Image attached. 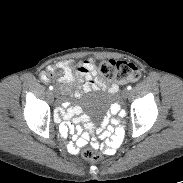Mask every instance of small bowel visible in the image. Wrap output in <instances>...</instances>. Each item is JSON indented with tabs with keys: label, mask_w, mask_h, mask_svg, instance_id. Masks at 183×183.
<instances>
[{
	"label": "small bowel",
	"mask_w": 183,
	"mask_h": 183,
	"mask_svg": "<svg viewBox=\"0 0 183 183\" xmlns=\"http://www.w3.org/2000/svg\"><path fill=\"white\" fill-rule=\"evenodd\" d=\"M56 69L62 71V76L59 82L67 85L73 82L75 85V93L79 95L82 91L88 92L99 88H107L111 94L118 91V85L113 83L108 85L107 82L99 77L96 72L95 62L92 58L77 62L73 59H67L59 62L56 67H50L46 73H43L42 78L47 81L49 72H55ZM66 89V88H65ZM128 115L126 108L118 104H114L109 111V114L103 119L99 127L89 121L88 117L82 115L81 107L71 106L70 102H64L54 113L56 122H62L58 129L60 135L66 137L70 132L77 131L78 136L69 142L67 148L73 153H78L81 148L85 147L89 138L90 132L95 131V134L103 139V143L94 142L92 145L95 149H103L105 157L110 158L119 148L124 130L119 126V118L124 119Z\"/></svg>",
	"instance_id": "c3829d8e"
}]
</instances>
